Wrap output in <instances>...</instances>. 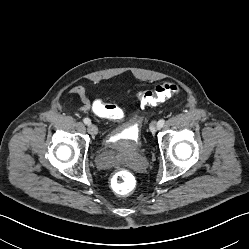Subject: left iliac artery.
<instances>
[{"instance_id":"44dca946","label":"left iliac artery","mask_w":249,"mask_h":249,"mask_svg":"<svg viewBox=\"0 0 249 249\" xmlns=\"http://www.w3.org/2000/svg\"><path fill=\"white\" fill-rule=\"evenodd\" d=\"M165 121L163 119L159 120L157 123L158 128H162L164 126Z\"/></svg>"}]
</instances>
